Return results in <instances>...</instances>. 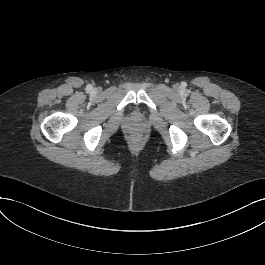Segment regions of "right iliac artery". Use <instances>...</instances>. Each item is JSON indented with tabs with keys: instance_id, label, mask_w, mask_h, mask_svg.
I'll return each mask as SVG.
<instances>
[{
	"instance_id": "obj_1",
	"label": "right iliac artery",
	"mask_w": 265,
	"mask_h": 265,
	"mask_svg": "<svg viewBox=\"0 0 265 265\" xmlns=\"http://www.w3.org/2000/svg\"><path fill=\"white\" fill-rule=\"evenodd\" d=\"M86 89L88 90V91H91L92 90V85H87V87H86Z\"/></svg>"
}]
</instances>
